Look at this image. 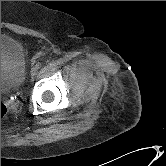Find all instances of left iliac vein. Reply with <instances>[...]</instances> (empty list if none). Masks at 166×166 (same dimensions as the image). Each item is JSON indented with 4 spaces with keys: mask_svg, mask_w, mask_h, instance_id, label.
I'll use <instances>...</instances> for the list:
<instances>
[{
    "mask_svg": "<svg viewBox=\"0 0 166 166\" xmlns=\"http://www.w3.org/2000/svg\"><path fill=\"white\" fill-rule=\"evenodd\" d=\"M36 74H37V67L35 66L31 69V75L35 76Z\"/></svg>",
    "mask_w": 166,
    "mask_h": 166,
    "instance_id": "left-iliac-vein-1",
    "label": "left iliac vein"
}]
</instances>
